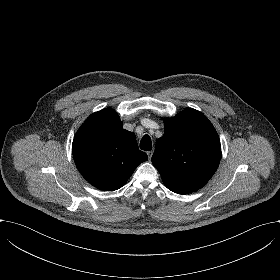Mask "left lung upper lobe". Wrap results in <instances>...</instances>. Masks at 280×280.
I'll return each instance as SVG.
<instances>
[{
  "mask_svg": "<svg viewBox=\"0 0 280 280\" xmlns=\"http://www.w3.org/2000/svg\"><path fill=\"white\" fill-rule=\"evenodd\" d=\"M152 163L165 186L178 194L195 192L215 173L221 159L218 134L201 112L186 108L164 119Z\"/></svg>",
  "mask_w": 280,
  "mask_h": 280,
  "instance_id": "1",
  "label": "left lung upper lobe"
}]
</instances>
